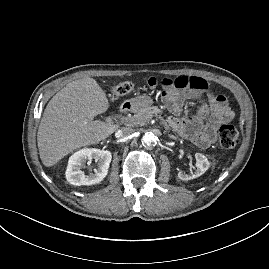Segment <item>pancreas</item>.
<instances>
[{
  "mask_svg": "<svg viewBox=\"0 0 269 269\" xmlns=\"http://www.w3.org/2000/svg\"><path fill=\"white\" fill-rule=\"evenodd\" d=\"M161 112L162 111L159 110L157 107H144L129 119L128 124L131 126L144 125L154 116H158V114H160Z\"/></svg>",
  "mask_w": 269,
  "mask_h": 269,
  "instance_id": "1",
  "label": "pancreas"
}]
</instances>
